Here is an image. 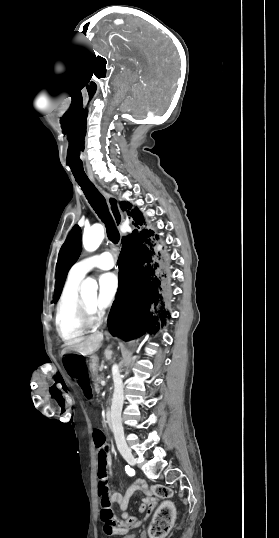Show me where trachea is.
<instances>
[{"mask_svg":"<svg viewBox=\"0 0 279 538\" xmlns=\"http://www.w3.org/2000/svg\"><path fill=\"white\" fill-rule=\"evenodd\" d=\"M76 182L83 190L85 197L100 220L105 224L107 236L115 245L119 242L120 234L116 230L114 220L109 212L105 198L93 185L87 176L75 177Z\"/></svg>","mask_w":279,"mask_h":538,"instance_id":"trachea-1","label":"trachea"}]
</instances>
